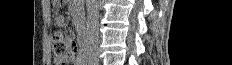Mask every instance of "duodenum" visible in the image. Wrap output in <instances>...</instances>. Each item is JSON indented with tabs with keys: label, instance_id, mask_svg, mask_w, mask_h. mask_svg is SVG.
I'll return each mask as SVG.
<instances>
[{
	"label": "duodenum",
	"instance_id": "obj_1",
	"mask_svg": "<svg viewBox=\"0 0 232 65\" xmlns=\"http://www.w3.org/2000/svg\"><path fill=\"white\" fill-rule=\"evenodd\" d=\"M78 42L82 50L86 51L88 46V38L85 30H81L78 37Z\"/></svg>",
	"mask_w": 232,
	"mask_h": 65
}]
</instances>
